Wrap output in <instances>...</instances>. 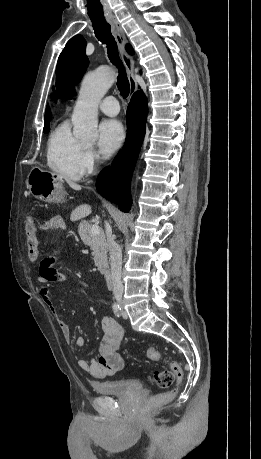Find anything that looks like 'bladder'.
<instances>
[{
    "label": "bladder",
    "mask_w": 261,
    "mask_h": 459,
    "mask_svg": "<svg viewBox=\"0 0 261 459\" xmlns=\"http://www.w3.org/2000/svg\"><path fill=\"white\" fill-rule=\"evenodd\" d=\"M91 387L100 395L126 396L142 390V383L137 379H116L101 382H92Z\"/></svg>",
    "instance_id": "1"
}]
</instances>
